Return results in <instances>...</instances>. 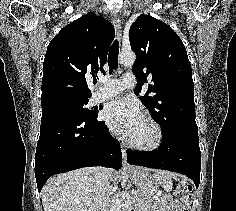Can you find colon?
<instances>
[{"label": "colon", "instance_id": "1", "mask_svg": "<svg viewBox=\"0 0 236 211\" xmlns=\"http://www.w3.org/2000/svg\"><path fill=\"white\" fill-rule=\"evenodd\" d=\"M177 189L181 194V200L184 204L182 211H189V204L193 197V186L187 181H181L178 183Z\"/></svg>", "mask_w": 236, "mask_h": 211}]
</instances>
